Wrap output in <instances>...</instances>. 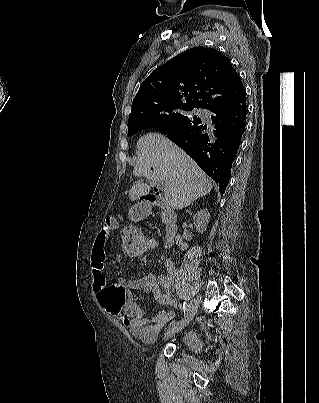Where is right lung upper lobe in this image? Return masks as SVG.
Wrapping results in <instances>:
<instances>
[{
  "label": "right lung upper lobe",
  "mask_w": 319,
  "mask_h": 403,
  "mask_svg": "<svg viewBox=\"0 0 319 403\" xmlns=\"http://www.w3.org/2000/svg\"><path fill=\"white\" fill-rule=\"evenodd\" d=\"M243 83L230 60L213 48L195 47L157 68L140 85L129 119L163 104L208 110L245 100Z\"/></svg>",
  "instance_id": "cb5924a9"
}]
</instances>
